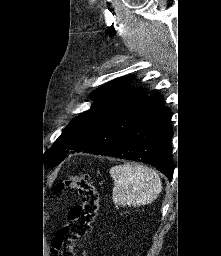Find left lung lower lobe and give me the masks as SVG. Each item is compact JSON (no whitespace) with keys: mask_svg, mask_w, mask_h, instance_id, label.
<instances>
[{"mask_svg":"<svg viewBox=\"0 0 221 256\" xmlns=\"http://www.w3.org/2000/svg\"><path fill=\"white\" fill-rule=\"evenodd\" d=\"M170 110L163 96L153 94L81 143L72 153L84 152L143 162L156 167L171 181L174 164Z\"/></svg>","mask_w":221,"mask_h":256,"instance_id":"0a47b994","label":"left lung lower lobe"}]
</instances>
